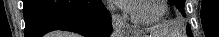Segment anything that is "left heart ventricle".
Instances as JSON below:
<instances>
[{
    "label": "left heart ventricle",
    "mask_w": 219,
    "mask_h": 37,
    "mask_svg": "<svg viewBox=\"0 0 219 37\" xmlns=\"http://www.w3.org/2000/svg\"><path fill=\"white\" fill-rule=\"evenodd\" d=\"M160 10L159 1L157 0H141L133 3V13L141 18H151L158 14Z\"/></svg>",
    "instance_id": "left-heart-ventricle-1"
}]
</instances>
